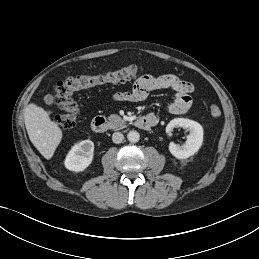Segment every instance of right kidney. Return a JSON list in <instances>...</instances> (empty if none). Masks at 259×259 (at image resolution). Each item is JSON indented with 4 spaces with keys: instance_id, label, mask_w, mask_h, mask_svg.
<instances>
[{
    "instance_id": "obj_1",
    "label": "right kidney",
    "mask_w": 259,
    "mask_h": 259,
    "mask_svg": "<svg viewBox=\"0 0 259 259\" xmlns=\"http://www.w3.org/2000/svg\"><path fill=\"white\" fill-rule=\"evenodd\" d=\"M94 156V143L83 140L75 144L68 152L64 165L70 171H84L92 162Z\"/></svg>"
}]
</instances>
